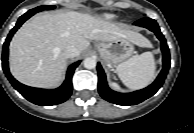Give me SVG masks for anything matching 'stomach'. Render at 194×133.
Instances as JSON below:
<instances>
[{
  "label": "stomach",
  "instance_id": "obj_1",
  "mask_svg": "<svg viewBox=\"0 0 194 133\" xmlns=\"http://www.w3.org/2000/svg\"><path fill=\"white\" fill-rule=\"evenodd\" d=\"M96 50L108 65H116L134 54V47L128 39L95 44Z\"/></svg>",
  "mask_w": 194,
  "mask_h": 133
}]
</instances>
